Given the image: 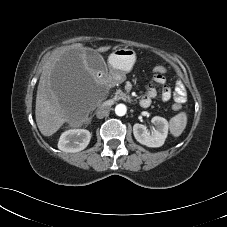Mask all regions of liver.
<instances>
[{
  "label": "liver",
  "mask_w": 227,
  "mask_h": 227,
  "mask_svg": "<svg viewBox=\"0 0 227 227\" xmlns=\"http://www.w3.org/2000/svg\"><path fill=\"white\" fill-rule=\"evenodd\" d=\"M111 46H101L96 52H106ZM88 49L75 43L56 51L43 67L40 76L35 116L44 136H51L70 119V103L80 95L82 85L99 82L98 73L86 61Z\"/></svg>",
  "instance_id": "liver-1"
}]
</instances>
